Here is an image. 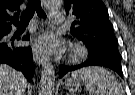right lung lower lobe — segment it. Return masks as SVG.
<instances>
[{"instance_id":"1","label":"right lung lower lobe","mask_w":135,"mask_h":95,"mask_svg":"<svg viewBox=\"0 0 135 95\" xmlns=\"http://www.w3.org/2000/svg\"><path fill=\"white\" fill-rule=\"evenodd\" d=\"M10 31L11 27L0 30V64H8L21 71L28 81H31L34 74L32 49L30 47H16L14 42L5 41L4 37ZM22 40H29V36H25Z\"/></svg>"}]
</instances>
